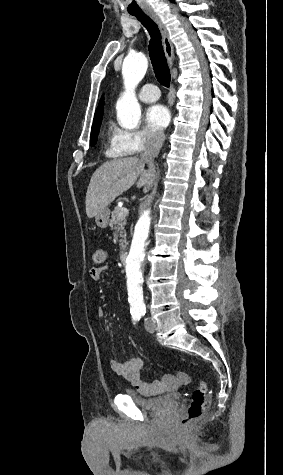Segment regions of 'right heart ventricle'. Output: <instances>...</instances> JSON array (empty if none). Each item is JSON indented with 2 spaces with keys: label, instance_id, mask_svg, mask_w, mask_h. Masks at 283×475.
Listing matches in <instances>:
<instances>
[{
  "label": "right heart ventricle",
  "instance_id": "right-heart-ventricle-1",
  "mask_svg": "<svg viewBox=\"0 0 283 475\" xmlns=\"http://www.w3.org/2000/svg\"><path fill=\"white\" fill-rule=\"evenodd\" d=\"M116 128L112 123H106L105 126L103 127V134L106 136L107 140L111 143L115 133H116Z\"/></svg>",
  "mask_w": 283,
  "mask_h": 475
}]
</instances>
